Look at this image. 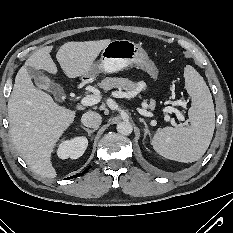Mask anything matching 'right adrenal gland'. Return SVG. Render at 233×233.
I'll list each match as a JSON object with an SVG mask.
<instances>
[{
	"instance_id": "2a0ac1e0",
	"label": "right adrenal gland",
	"mask_w": 233,
	"mask_h": 233,
	"mask_svg": "<svg viewBox=\"0 0 233 233\" xmlns=\"http://www.w3.org/2000/svg\"><path fill=\"white\" fill-rule=\"evenodd\" d=\"M81 128H82L83 130H85V131L88 133V136H89V137L91 136V133H93V132L96 131V129L90 130V129H88V128L82 126V125H81Z\"/></svg>"
}]
</instances>
